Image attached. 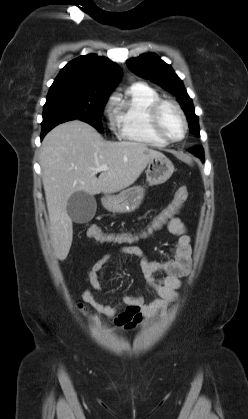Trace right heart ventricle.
I'll return each mask as SVG.
<instances>
[{"instance_id": "obj_1", "label": "right heart ventricle", "mask_w": 248, "mask_h": 419, "mask_svg": "<svg viewBox=\"0 0 248 419\" xmlns=\"http://www.w3.org/2000/svg\"><path fill=\"white\" fill-rule=\"evenodd\" d=\"M159 94L144 83H134L115 98L114 122L118 136L127 141L155 147L166 143L151 130L148 121L150 105Z\"/></svg>"}]
</instances>
